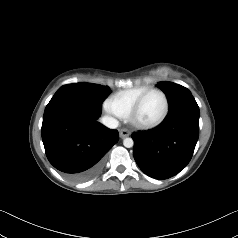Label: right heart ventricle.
<instances>
[{
	"mask_svg": "<svg viewBox=\"0 0 238 238\" xmlns=\"http://www.w3.org/2000/svg\"><path fill=\"white\" fill-rule=\"evenodd\" d=\"M150 88L148 85L134 86L114 93L109 99L122 118L128 117L134 103L138 97Z\"/></svg>",
	"mask_w": 238,
	"mask_h": 238,
	"instance_id": "1",
	"label": "right heart ventricle"
}]
</instances>
